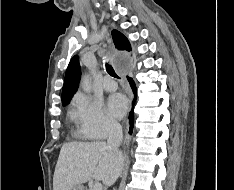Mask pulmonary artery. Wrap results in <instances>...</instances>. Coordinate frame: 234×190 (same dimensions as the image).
Here are the masks:
<instances>
[{
  "mask_svg": "<svg viewBox=\"0 0 234 190\" xmlns=\"http://www.w3.org/2000/svg\"><path fill=\"white\" fill-rule=\"evenodd\" d=\"M103 87L106 91H114L117 89V83L109 76H105Z\"/></svg>",
  "mask_w": 234,
  "mask_h": 190,
  "instance_id": "e3ab8cb5",
  "label": "pulmonary artery"
}]
</instances>
